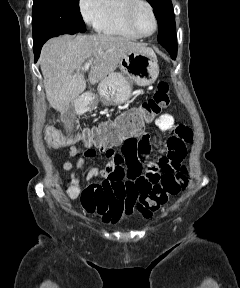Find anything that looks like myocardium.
<instances>
[{"mask_svg":"<svg viewBox=\"0 0 240 288\" xmlns=\"http://www.w3.org/2000/svg\"><path fill=\"white\" fill-rule=\"evenodd\" d=\"M141 5H145L148 7V9L150 10V12L153 16L154 23H155L154 31L148 35H144V34H141L140 32H138V30L136 29L135 24H134V16H135L136 10ZM124 17H125V22H126L127 27L135 35H137L139 38L152 37L158 31V28H159L158 17H157V14H156V11H155L153 5L148 0H128V2L125 4V8H124Z\"/></svg>","mask_w":240,"mask_h":288,"instance_id":"myocardium-1","label":"myocardium"}]
</instances>
